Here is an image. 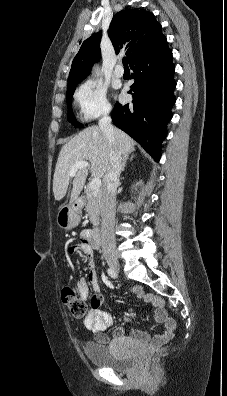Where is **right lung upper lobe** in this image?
Instances as JSON below:
<instances>
[{"label": "right lung upper lobe", "instance_id": "cb5924a9", "mask_svg": "<svg viewBox=\"0 0 227 396\" xmlns=\"http://www.w3.org/2000/svg\"><path fill=\"white\" fill-rule=\"evenodd\" d=\"M161 29L151 12L126 8L113 16L108 35L116 54L125 51L131 64L145 50L166 41ZM100 41L101 33L98 32L83 42L72 62L67 90L83 80L90 73L93 63L99 60Z\"/></svg>", "mask_w": 227, "mask_h": 396}]
</instances>
